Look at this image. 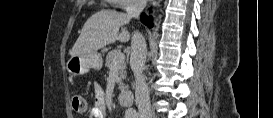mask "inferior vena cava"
Returning a JSON list of instances; mask_svg holds the SVG:
<instances>
[{
  "mask_svg": "<svg viewBox=\"0 0 273 118\" xmlns=\"http://www.w3.org/2000/svg\"><path fill=\"white\" fill-rule=\"evenodd\" d=\"M144 7V0H136L126 11L129 17L138 18ZM146 56L147 47L145 39L142 34L135 32L131 40L130 66L135 76V102L141 118L151 117L149 90L143 76Z\"/></svg>",
  "mask_w": 273,
  "mask_h": 118,
  "instance_id": "602c4592",
  "label": "inferior vena cava"
}]
</instances>
